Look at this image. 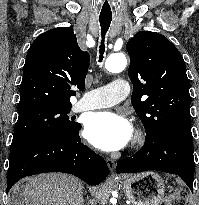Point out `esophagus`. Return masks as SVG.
<instances>
[{"instance_id": "1", "label": "esophagus", "mask_w": 199, "mask_h": 205, "mask_svg": "<svg viewBox=\"0 0 199 205\" xmlns=\"http://www.w3.org/2000/svg\"><path fill=\"white\" fill-rule=\"evenodd\" d=\"M106 162H107V165H108L110 171H111L112 174H113L114 169H115V161H114L113 159H111V158H107V159H106Z\"/></svg>"}]
</instances>
